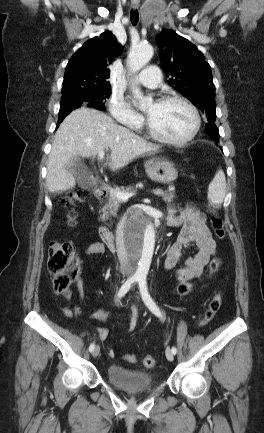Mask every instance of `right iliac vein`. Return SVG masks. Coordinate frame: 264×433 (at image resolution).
<instances>
[{"label": "right iliac vein", "instance_id": "right-iliac-vein-1", "mask_svg": "<svg viewBox=\"0 0 264 433\" xmlns=\"http://www.w3.org/2000/svg\"><path fill=\"white\" fill-rule=\"evenodd\" d=\"M99 353H100V347L97 345V346L94 348V350L92 351V356H93L94 358H96V357L99 355Z\"/></svg>", "mask_w": 264, "mask_h": 433}]
</instances>
